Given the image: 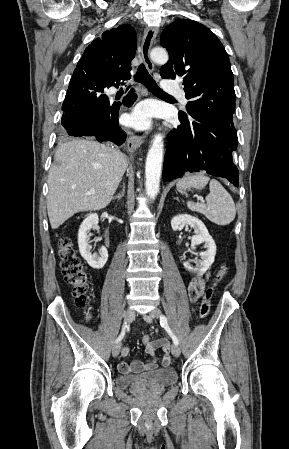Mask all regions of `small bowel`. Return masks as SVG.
Listing matches in <instances>:
<instances>
[{
	"label": "small bowel",
	"instance_id": "1",
	"mask_svg": "<svg viewBox=\"0 0 289 449\" xmlns=\"http://www.w3.org/2000/svg\"><path fill=\"white\" fill-rule=\"evenodd\" d=\"M209 273L199 275L195 277L188 286V293L191 302H197L203 295L206 283L209 278ZM144 343V342H143ZM171 343L169 338H158L155 340L149 339L148 342L144 343L146 352L151 355L152 359L146 363L141 361H134L132 363L120 362L118 365V370L121 374L139 373L142 371H151L158 367V359L156 356V351L158 349H163L164 353L161 355L160 367L162 369H167L170 366L171 358V348L168 346ZM130 352L129 347L125 346L122 348V355L127 356Z\"/></svg>",
	"mask_w": 289,
	"mask_h": 449
}]
</instances>
